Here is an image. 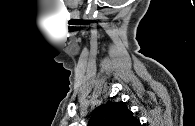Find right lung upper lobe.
<instances>
[{
  "instance_id": "right-lung-upper-lobe-1",
  "label": "right lung upper lobe",
  "mask_w": 195,
  "mask_h": 126,
  "mask_svg": "<svg viewBox=\"0 0 195 126\" xmlns=\"http://www.w3.org/2000/svg\"><path fill=\"white\" fill-rule=\"evenodd\" d=\"M88 126H140L127 105L120 102H108L95 108Z\"/></svg>"
}]
</instances>
